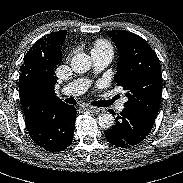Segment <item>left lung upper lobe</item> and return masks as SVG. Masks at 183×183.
Returning a JSON list of instances; mask_svg holds the SVG:
<instances>
[{
	"instance_id": "obj_1",
	"label": "left lung upper lobe",
	"mask_w": 183,
	"mask_h": 183,
	"mask_svg": "<svg viewBox=\"0 0 183 183\" xmlns=\"http://www.w3.org/2000/svg\"><path fill=\"white\" fill-rule=\"evenodd\" d=\"M118 51L116 83L127 91L125 108H133L155 120L161 100L159 59L147 42L128 31H108Z\"/></svg>"
}]
</instances>
